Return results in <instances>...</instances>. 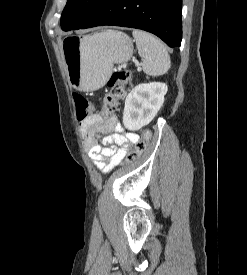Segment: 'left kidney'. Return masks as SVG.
Here are the masks:
<instances>
[{
    "label": "left kidney",
    "mask_w": 247,
    "mask_h": 275,
    "mask_svg": "<svg viewBox=\"0 0 247 275\" xmlns=\"http://www.w3.org/2000/svg\"><path fill=\"white\" fill-rule=\"evenodd\" d=\"M168 87L165 83H142L132 89L125 100L124 127L131 131L148 125L164 102Z\"/></svg>",
    "instance_id": "obj_1"
}]
</instances>
